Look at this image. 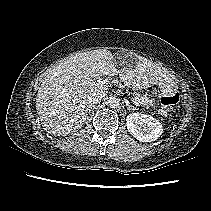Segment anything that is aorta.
<instances>
[{
    "label": "aorta",
    "mask_w": 211,
    "mask_h": 211,
    "mask_svg": "<svg viewBox=\"0 0 211 211\" xmlns=\"http://www.w3.org/2000/svg\"><path fill=\"white\" fill-rule=\"evenodd\" d=\"M120 99L116 96H111L108 100V105L110 108H116L119 106Z\"/></svg>",
    "instance_id": "aorta-1"
}]
</instances>
